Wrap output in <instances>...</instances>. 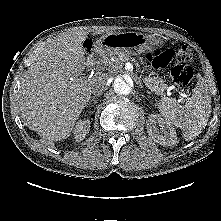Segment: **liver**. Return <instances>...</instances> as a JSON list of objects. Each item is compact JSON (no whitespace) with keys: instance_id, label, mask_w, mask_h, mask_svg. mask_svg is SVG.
<instances>
[{"instance_id":"obj_1","label":"liver","mask_w":221,"mask_h":221,"mask_svg":"<svg viewBox=\"0 0 221 221\" xmlns=\"http://www.w3.org/2000/svg\"><path fill=\"white\" fill-rule=\"evenodd\" d=\"M87 34L77 30L59 35L41 51L21 83L23 120L45 139L70 136L92 88L105 76H81L87 64L83 51Z\"/></svg>"}]
</instances>
